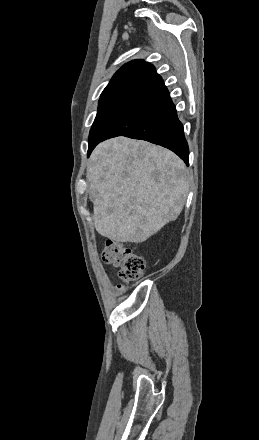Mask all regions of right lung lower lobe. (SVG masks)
<instances>
[{"label":"right lung lower lobe","instance_id":"right-lung-lower-lobe-1","mask_svg":"<svg viewBox=\"0 0 259 440\" xmlns=\"http://www.w3.org/2000/svg\"><path fill=\"white\" fill-rule=\"evenodd\" d=\"M116 136L161 145L175 152L189 165V148L183 125L163 80L150 89L135 108L105 136L89 143L88 156L98 143Z\"/></svg>","mask_w":259,"mask_h":440}]
</instances>
